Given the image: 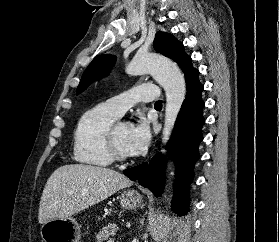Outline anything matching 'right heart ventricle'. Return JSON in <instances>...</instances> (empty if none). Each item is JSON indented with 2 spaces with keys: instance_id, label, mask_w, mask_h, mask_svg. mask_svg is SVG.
<instances>
[{
  "instance_id": "e07e8e85",
  "label": "right heart ventricle",
  "mask_w": 279,
  "mask_h": 242,
  "mask_svg": "<svg viewBox=\"0 0 279 242\" xmlns=\"http://www.w3.org/2000/svg\"><path fill=\"white\" fill-rule=\"evenodd\" d=\"M117 118L105 104L96 105L81 115L73 137V155L77 162L96 167H107L113 162L106 135Z\"/></svg>"
}]
</instances>
